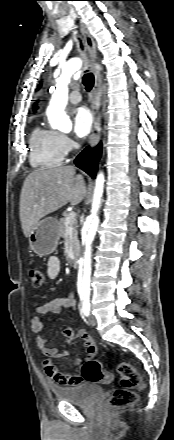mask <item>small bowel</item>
<instances>
[{
    "instance_id": "c3829d8e",
    "label": "small bowel",
    "mask_w": 174,
    "mask_h": 440,
    "mask_svg": "<svg viewBox=\"0 0 174 440\" xmlns=\"http://www.w3.org/2000/svg\"><path fill=\"white\" fill-rule=\"evenodd\" d=\"M60 271V260L56 256L49 257L46 270L47 277L49 279H55L59 275ZM64 308L69 310L75 309V301L71 293L62 297L54 298L46 304L38 305L36 306L35 310L38 314H59ZM31 328L36 335V345L43 354L53 358H65L67 356V351L65 349L51 348L47 345V339L44 336L45 326L41 317L35 316L32 318ZM64 335L66 337L67 344H70L74 338H79L82 340L85 352V360L96 356L98 347L92 336L85 329H79L75 332L72 326H68L64 329ZM45 364H47L44 369L46 374L57 384L73 386L82 382L80 376L61 372L50 360L46 361ZM74 364L75 366L81 368L83 359L77 358Z\"/></svg>"
}]
</instances>
